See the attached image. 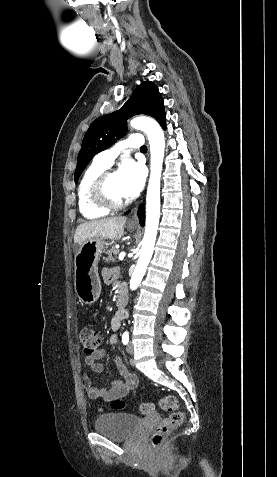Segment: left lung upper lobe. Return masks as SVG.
Segmentation results:
<instances>
[{
  "label": "left lung upper lobe",
  "mask_w": 277,
  "mask_h": 477,
  "mask_svg": "<svg viewBox=\"0 0 277 477\" xmlns=\"http://www.w3.org/2000/svg\"><path fill=\"white\" fill-rule=\"evenodd\" d=\"M137 114L152 116L161 126L165 124L164 102L158 87L151 81L142 82L119 110L97 118L90 125L78 154L75 183L97 153L109 148L125 134L127 119Z\"/></svg>",
  "instance_id": "5c2ea615"
}]
</instances>
